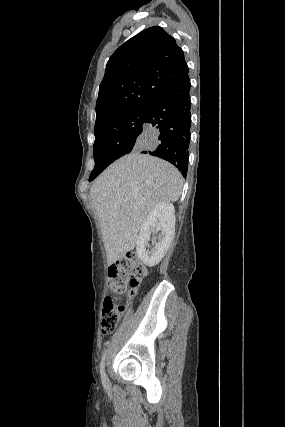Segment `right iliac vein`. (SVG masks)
<instances>
[{"instance_id": "63e3f726", "label": "right iliac vein", "mask_w": 285, "mask_h": 427, "mask_svg": "<svg viewBox=\"0 0 285 427\" xmlns=\"http://www.w3.org/2000/svg\"><path fill=\"white\" fill-rule=\"evenodd\" d=\"M107 383H108V379L105 380V384H107Z\"/></svg>"}]
</instances>
